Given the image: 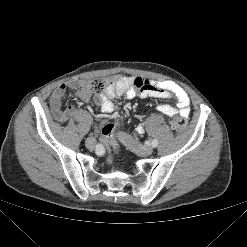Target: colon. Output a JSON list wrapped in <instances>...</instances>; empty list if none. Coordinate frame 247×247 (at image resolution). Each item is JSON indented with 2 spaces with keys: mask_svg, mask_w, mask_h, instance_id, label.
<instances>
[{
  "mask_svg": "<svg viewBox=\"0 0 247 247\" xmlns=\"http://www.w3.org/2000/svg\"><path fill=\"white\" fill-rule=\"evenodd\" d=\"M86 87L89 91L95 94H102L105 86H106V80L103 78H96L89 82H87ZM187 126V121L184 117H175L172 120V127L176 131V133L180 134L185 131ZM113 133V127L111 125L106 126L103 129V136L110 137Z\"/></svg>",
  "mask_w": 247,
  "mask_h": 247,
  "instance_id": "colon-1",
  "label": "colon"
}]
</instances>
